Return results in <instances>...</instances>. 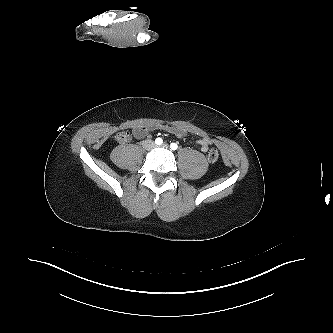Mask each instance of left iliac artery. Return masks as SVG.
<instances>
[{"instance_id": "obj_1", "label": "left iliac artery", "mask_w": 333, "mask_h": 333, "mask_svg": "<svg viewBox=\"0 0 333 333\" xmlns=\"http://www.w3.org/2000/svg\"><path fill=\"white\" fill-rule=\"evenodd\" d=\"M170 148L172 150H176L178 148V145L176 143H171Z\"/></svg>"}]
</instances>
